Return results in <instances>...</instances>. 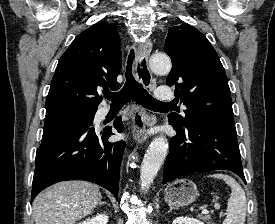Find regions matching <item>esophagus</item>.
Instances as JSON below:
<instances>
[{
  "instance_id": "34e87169",
  "label": "esophagus",
  "mask_w": 275,
  "mask_h": 224,
  "mask_svg": "<svg viewBox=\"0 0 275 224\" xmlns=\"http://www.w3.org/2000/svg\"><path fill=\"white\" fill-rule=\"evenodd\" d=\"M152 50L151 40L140 43L137 48L135 70L138 81L146 88L151 85L152 74L148 67V59ZM156 119L145 111H137L134 115L133 123L136 133L135 141L143 143L148 138V127L155 124Z\"/></svg>"
}]
</instances>
